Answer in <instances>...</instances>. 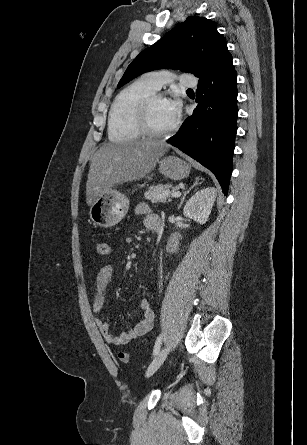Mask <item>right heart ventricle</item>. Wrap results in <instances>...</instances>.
Listing matches in <instances>:
<instances>
[{"label":"right heart ventricle","instance_id":"1","mask_svg":"<svg viewBox=\"0 0 307 445\" xmlns=\"http://www.w3.org/2000/svg\"><path fill=\"white\" fill-rule=\"evenodd\" d=\"M155 91L148 81H137L122 91L112 104L108 119L111 140H144L138 108L141 102Z\"/></svg>","mask_w":307,"mask_h":445}]
</instances>
